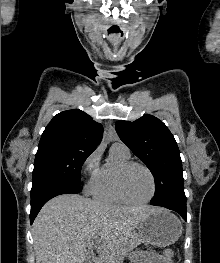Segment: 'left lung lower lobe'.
<instances>
[{
	"instance_id": "0a47b994",
	"label": "left lung lower lobe",
	"mask_w": 220,
	"mask_h": 263,
	"mask_svg": "<svg viewBox=\"0 0 220 263\" xmlns=\"http://www.w3.org/2000/svg\"><path fill=\"white\" fill-rule=\"evenodd\" d=\"M151 205H154V206H161V207H165L167 209H170V210H173V211H176L178 212L182 218L187 221V212H186V208H178V207H174V206H170V205H165V204H153V203H150Z\"/></svg>"
}]
</instances>
